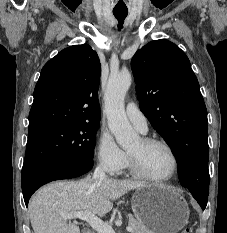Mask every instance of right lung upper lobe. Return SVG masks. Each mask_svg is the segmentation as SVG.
Here are the masks:
<instances>
[{
	"mask_svg": "<svg viewBox=\"0 0 227 233\" xmlns=\"http://www.w3.org/2000/svg\"><path fill=\"white\" fill-rule=\"evenodd\" d=\"M100 72L98 55L87 44L66 48L49 60L34 90L28 133L80 121L99 122Z\"/></svg>",
	"mask_w": 227,
	"mask_h": 233,
	"instance_id": "1",
	"label": "right lung upper lobe"
}]
</instances>
